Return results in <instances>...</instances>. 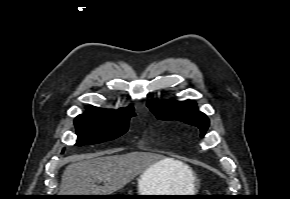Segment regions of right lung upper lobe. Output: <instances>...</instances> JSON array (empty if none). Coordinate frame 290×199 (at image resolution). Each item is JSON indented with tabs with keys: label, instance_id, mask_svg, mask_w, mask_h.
I'll return each mask as SVG.
<instances>
[{
	"label": "right lung upper lobe",
	"instance_id": "1",
	"mask_svg": "<svg viewBox=\"0 0 290 199\" xmlns=\"http://www.w3.org/2000/svg\"><path fill=\"white\" fill-rule=\"evenodd\" d=\"M84 115H98V116H118V115H135L132 106L121 108L119 110H107L97 107L89 106Z\"/></svg>",
	"mask_w": 290,
	"mask_h": 199
}]
</instances>
